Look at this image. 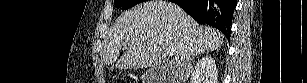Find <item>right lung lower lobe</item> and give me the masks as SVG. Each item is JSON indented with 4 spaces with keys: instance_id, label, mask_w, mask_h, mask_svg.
I'll use <instances>...</instances> for the list:
<instances>
[{
    "instance_id": "1",
    "label": "right lung lower lobe",
    "mask_w": 307,
    "mask_h": 83,
    "mask_svg": "<svg viewBox=\"0 0 307 83\" xmlns=\"http://www.w3.org/2000/svg\"><path fill=\"white\" fill-rule=\"evenodd\" d=\"M200 24L218 28L230 41L236 0H172Z\"/></svg>"
}]
</instances>
